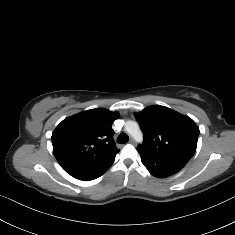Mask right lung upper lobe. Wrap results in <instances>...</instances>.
Segmentation results:
<instances>
[{
    "mask_svg": "<svg viewBox=\"0 0 235 235\" xmlns=\"http://www.w3.org/2000/svg\"><path fill=\"white\" fill-rule=\"evenodd\" d=\"M118 112L104 108L64 119L52 134L53 153L65 171L92 172L109 168L119 152L112 123Z\"/></svg>",
    "mask_w": 235,
    "mask_h": 235,
    "instance_id": "right-lung-upper-lobe-1",
    "label": "right lung upper lobe"
}]
</instances>
